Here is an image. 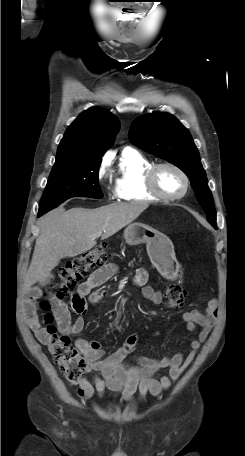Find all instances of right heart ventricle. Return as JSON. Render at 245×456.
Returning <instances> with one entry per match:
<instances>
[{
	"label": "right heart ventricle",
	"mask_w": 245,
	"mask_h": 456,
	"mask_svg": "<svg viewBox=\"0 0 245 456\" xmlns=\"http://www.w3.org/2000/svg\"><path fill=\"white\" fill-rule=\"evenodd\" d=\"M153 163L131 148H125L120 156L115 178L117 196L128 202H152L158 200L145 185V173Z\"/></svg>",
	"instance_id": "e07e8e85"
}]
</instances>
